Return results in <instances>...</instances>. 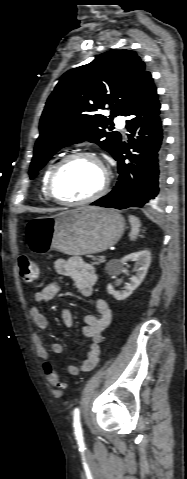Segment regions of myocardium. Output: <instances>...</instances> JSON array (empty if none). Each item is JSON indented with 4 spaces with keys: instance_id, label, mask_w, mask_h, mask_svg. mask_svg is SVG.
I'll return each instance as SVG.
<instances>
[{
    "instance_id": "1",
    "label": "myocardium",
    "mask_w": 187,
    "mask_h": 479,
    "mask_svg": "<svg viewBox=\"0 0 187 479\" xmlns=\"http://www.w3.org/2000/svg\"><path fill=\"white\" fill-rule=\"evenodd\" d=\"M80 158L92 159L101 166L104 172L103 182L101 186L99 187V189L94 194L86 198L78 199V200H68V199L60 198L55 192V188H54L56 177L65 165H67L69 162L73 160L80 159ZM109 185H110V174L107 168L105 167L104 163L102 162V160L93 152L76 151L63 157L54 165L47 180L46 193L51 200L59 204L68 205V206L85 205V204L95 202L98 199H100L102 196H104L109 188Z\"/></svg>"
}]
</instances>
